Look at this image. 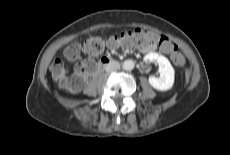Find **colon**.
<instances>
[{"label":"colon","instance_id":"obj_1","mask_svg":"<svg viewBox=\"0 0 230 155\" xmlns=\"http://www.w3.org/2000/svg\"><path fill=\"white\" fill-rule=\"evenodd\" d=\"M150 44H158L159 47L166 53L171 54L172 59L177 63V69L184 71L186 69V61L181 58L177 51L176 44L167 36H159L151 32L141 29L126 32L121 34L120 37H111L107 41L100 38H89L83 45V51L88 58L79 63L76 72L71 77L67 76V70L60 59H56L50 66V72L53 79L59 86L69 90L76 91L82 87L87 76L94 70L95 61L94 57L101 54L105 47L119 46V47H134V46H147ZM81 47L77 43H73L65 50V56L68 60H79Z\"/></svg>","mask_w":230,"mask_h":155}]
</instances>
